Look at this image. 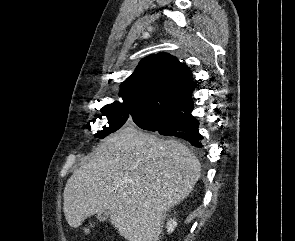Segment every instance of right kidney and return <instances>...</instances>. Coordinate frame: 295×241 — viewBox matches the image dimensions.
<instances>
[{
  "instance_id": "ca27d5eb",
  "label": "right kidney",
  "mask_w": 295,
  "mask_h": 241,
  "mask_svg": "<svg viewBox=\"0 0 295 241\" xmlns=\"http://www.w3.org/2000/svg\"><path fill=\"white\" fill-rule=\"evenodd\" d=\"M177 226V222L175 219H170V221H168L167 223V231L168 232H173V230L175 229V227Z\"/></svg>"
}]
</instances>
